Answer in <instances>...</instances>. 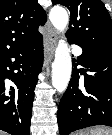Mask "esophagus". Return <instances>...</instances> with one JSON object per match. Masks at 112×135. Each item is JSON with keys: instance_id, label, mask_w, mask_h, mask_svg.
<instances>
[{"instance_id": "1", "label": "esophagus", "mask_w": 112, "mask_h": 135, "mask_svg": "<svg viewBox=\"0 0 112 135\" xmlns=\"http://www.w3.org/2000/svg\"><path fill=\"white\" fill-rule=\"evenodd\" d=\"M57 39V32L52 27H49L45 34V58L49 61L53 57Z\"/></svg>"}]
</instances>
